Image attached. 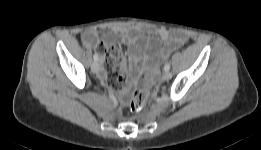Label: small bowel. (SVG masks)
<instances>
[{"instance_id":"1","label":"small bowel","mask_w":261,"mask_h":150,"mask_svg":"<svg viewBox=\"0 0 261 150\" xmlns=\"http://www.w3.org/2000/svg\"><path fill=\"white\" fill-rule=\"evenodd\" d=\"M81 39L88 49H97L103 55L104 72L100 77L105 78L108 86L117 89L122 84V77L115 68L116 43L128 46L129 75L134 83L141 70H146L150 80L158 75L157 58L167 59L171 53L182 46L186 35L177 30L140 26H114L105 33L103 39L96 29H88L81 34Z\"/></svg>"}]
</instances>
